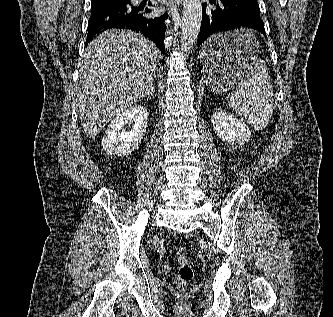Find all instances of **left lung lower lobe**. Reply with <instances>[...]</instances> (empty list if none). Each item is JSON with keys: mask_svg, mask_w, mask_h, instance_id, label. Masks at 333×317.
<instances>
[{"mask_svg": "<svg viewBox=\"0 0 333 317\" xmlns=\"http://www.w3.org/2000/svg\"><path fill=\"white\" fill-rule=\"evenodd\" d=\"M214 7L206 8L202 4V24L198 36V47L212 34L233 31L241 28H253L266 36L264 23L260 17L257 0H209ZM237 45H214L206 52L208 60H221L235 54ZM202 67V65H200Z\"/></svg>", "mask_w": 333, "mask_h": 317, "instance_id": "left-lung-lower-lobe-1", "label": "left lung lower lobe"}]
</instances>
